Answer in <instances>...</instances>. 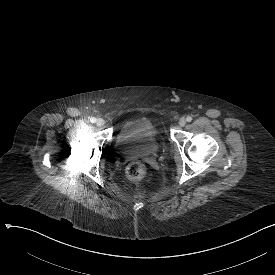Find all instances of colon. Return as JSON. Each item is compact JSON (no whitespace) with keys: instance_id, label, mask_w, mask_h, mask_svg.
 I'll return each instance as SVG.
<instances>
[{"instance_id":"obj_1","label":"colon","mask_w":275,"mask_h":275,"mask_svg":"<svg viewBox=\"0 0 275 275\" xmlns=\"http://www.w3.org/2000/svg\"><path fill=\"white\" fill-rule=\"evenodd\" d=\"M126 175L132 181H144L148 178V171L143 164L131 163L127 166Z\"/></svg>"}]
</instances>
